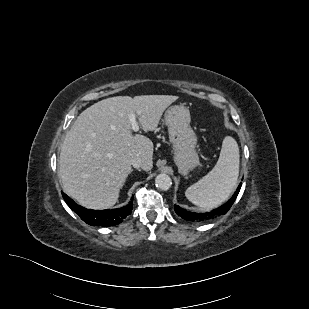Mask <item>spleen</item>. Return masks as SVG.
Masks as SVG:
<instances>
[{
    "label": "spleen",
    "instance_id": "3e777b00",
    "mask_svg": "<svg viewBox=\"0 0 309 309\" xmlns=\"http://www.w3.org/2000/svg\"><path fill=\"white\" fill-rule=\"evenodd\" d=\"M239 157L235 139L225 137L216 165L208 174L186 189L187 199L205 209H212L226 201L237 184Z\"/></svg>",
    "mask_w": 309,
    "mask_h": 309
}]
</instances>
